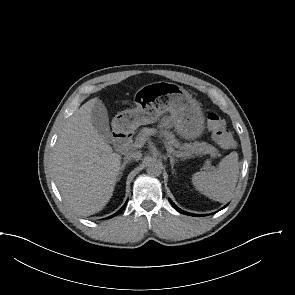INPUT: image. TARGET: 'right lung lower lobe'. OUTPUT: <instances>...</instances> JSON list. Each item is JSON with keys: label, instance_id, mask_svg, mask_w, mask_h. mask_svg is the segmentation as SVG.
<instances>
[{"label": "right lung lower lobe", "instance_id": "right-lung-lower-lobe-1", "mask_svg": "<svg viewBox=\"0 0 295 295\" xmlns=\"http://www.w3.org/2000/svg\"><path fill=\"white\" fill-rule=\"evenodd\" d=\"M125 205L118 212H116L114 215H112V216H110L108 218H112L113 216L118 215L124 209Z\"/></svg>", "mask_w": 295, "mask_h": 295}]
</instances>
